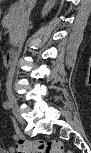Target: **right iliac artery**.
<instances>
[{
  "label": "right iliac artery",
  "instance_id": "obj_1",
  "mask_svg": "<svg viewBox=\"0 0 91 153\" xmlns=\"http://www.w3.org/2000/svg\"><path fill=\"white\" fill-rule=\"evenodd\" d=\"M3 108L6 109V110L10 109V104H9V102H4V103H3Z\"/></svg>",
  "mask_w": 91,
  "mask_h": 153
}]
</instances>
